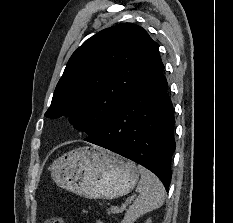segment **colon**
Segmentation results:
<instances>
[{"label":"colon","mask_w":233,"mask_h":223,"mask_svg":"<svg viewBox=\"0 0 233 223\" xmlns=\"http://www.w3.org/2000/svg\"><path fill=\"white\" fill-rule=\"evenodd\" d=\"M45 223H65V220L61 216H54L45 221Z\"/></svg>","instance_id":"obj_1"}]
</instances>
